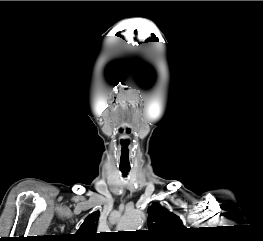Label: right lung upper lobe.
Wrapping results in <instances>:
<instances>
[{
  "instance_id": "1",
  "label": "right lung upper lobe",
  "mask_w": 263,
  "mask_h": 241,
  "mask_svg": "<svg viewBox=\"0 0 263 241\" xmlns=\"http://www.w3.org/2000/svg\"><path fill=\"white\" fill-rule=\"evenodd\" d=\"M99 215V211L90 214L73 235V241H99L100 236L96 233Z\"/></svg>"
}]
</instances>
